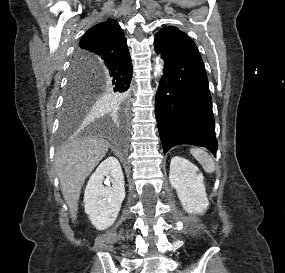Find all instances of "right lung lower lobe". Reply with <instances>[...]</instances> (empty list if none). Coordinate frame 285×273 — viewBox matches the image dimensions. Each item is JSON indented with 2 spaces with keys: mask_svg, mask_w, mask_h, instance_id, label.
<instances>
[{
  "mask_svg": "<svg viewBox=\"0 0 285 273\" xmlns=\"http://www.w3.org/2000/svg\"><path fill=\"white\" fill-rule=\"evenodd\" d=\"M95 75L99 86H105L113 93H122L128 90L132 79V63L130 54L121 60L107 63L104 66L97 67ZM115 105V101H113Z\"/></svg>",
  "mask_w": 285,
  "mask_h": 273,
  "instance_id": "obj_1",
  "label": "right lung lower lobe"
}]
</instances>
